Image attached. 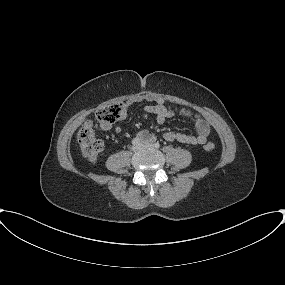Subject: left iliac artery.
<instances>
[{
	"label": "left iliac artery",
	"mask_w": 285,
	"mask_h": 285,
	"mask_svg": "<svg viewBox=\"0 0 285 285\" xmlns=\"http://www.w3.org/2000/svg\"><path fill=\"white\" fill-rule=\"evenodd\" d=\"M154 146H155L156 148H159V147H160V144H159L158 142H156V143L154 144Z\"/></svg>",
	"instance_id": "44dca946"
}]
</instances>
